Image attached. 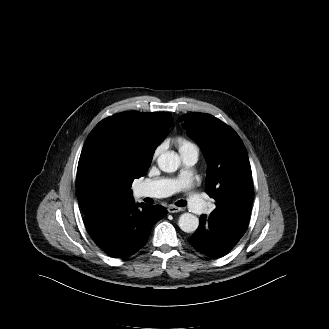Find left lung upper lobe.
Wrapping results in <instances>:
<instances>
[{"label": "left lung upper lobe", "mask_w": 329, "mask_h": 329, "mask_svg": "<svg viewBox=\"0 0 329 329\" xmlns=\"http://www.w3.org/2000/svg\"><path fill=\"white\" fill-rule=\"evenodd\" d=\"M179 121L188 135L201 147L208 164L205 188L215 199L216 209L229 210L231 204L250 200L251 167L245 146L238 134L212 115L188 113Z\"/></svg>", "instance_id": "1"}]
</instances>
